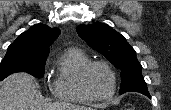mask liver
<instances>
[{
    "mask_svg": "<svg viewBox=\"0 0 171 110\" xmlns=\"http://www.w3.org/2000/svg\"><path fill=\"white\" fill-rule=\"evenodd\" d=\"M38 84L33 76L20 72L7 77L0 88V110H89L64 102L46 103L36 98Z\"/></svg>",
    "mask_w": 171,
    "mask_h": 110,
    "instance_id": "liver-1",
    "label": "liver"
}]
</instances>
